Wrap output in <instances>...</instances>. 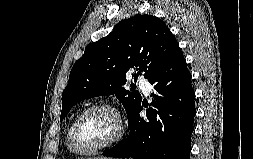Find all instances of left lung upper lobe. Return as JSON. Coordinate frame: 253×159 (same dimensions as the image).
<instances>
[{
  "label": "left lung upper lobe",
  "instance_id": "5c2ea615",
  "mask_svg": "<svg viewBox=\"0 0 253 159\" xmlns=\"http://www.w3.org/2000/svg\"><path fill=\"white\" fill-rule=\"evenodd\" d=\"M180 50L165 23L151 15L121 21L106 37L89 44L73 65L62 95V121L78 102L95 96L115 94L128 117L141 102L137 91L126 90V73L134 69L150 79Z\"/></svg>",
  "mask_w": 253,
  "mask_h": 159
}]
</instances>
